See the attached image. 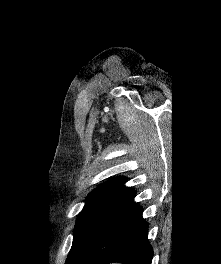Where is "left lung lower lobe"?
<instances>
[{"instance_id": "obj_1", "label": "left lung lower lobe", "mask_w": 221, "mask_h": 264, "mask_svg": "<svg viewBox=\"0 0 221 264\" xmlns=\"http://www.w3.org/2000/svg\"><path fill=\"white\" fill-rule=\"evenodd\" d=\"M136 192L111 210L70 252L65 264H151L148 224L133 201Z\"/></svg>"}]
</instances>
